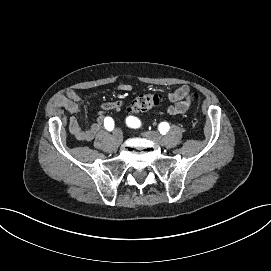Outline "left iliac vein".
Listing matches in <instances>:
<instances>
[{
    "instance_id": "left-iliac-vein-1",
    "label": "left iliac vein",
    "mask_w": 271,
    "mask_h": 271,
    "mask_svg": "<svg viewBox=\"0 0 271 271\" xmlns=\"http://www.w3.org/2000/svg\"><path fill=\"white\" fill-rule=\"evenodd\" d=\"M143 136L152 141V142H155L157 144H164V139H163V136L160 135L159 133H156V132H145L143 133Z\"/></svg>"
}]
</instances>
